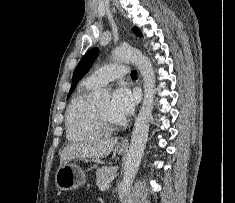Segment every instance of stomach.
I'll return each instance as SVG.
<instances>
[{"mask_svg":"<svg viewBox=\"0 0 235 203\" xmlns=\"http://www.w3.org/2000/svg\"><path fill=\"white\" fill-rule=\"evenodd\" d=\"M125 148L117 146L115 152L124 154ZM86 182L85 172L76 164L66 162L61 165L55 175V184L62 191L75 190Z\"/></svg>","mask_w":235,"mask_h":203,"instance_id":"0dacf381","label":"stomach"}]
</instances>
